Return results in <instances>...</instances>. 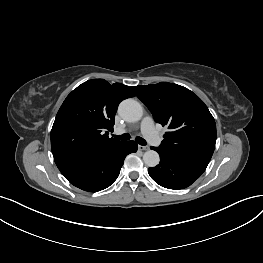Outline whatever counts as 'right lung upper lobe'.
<instances>
[{"label":"right lung upper lobe","instance_id":"obj_1","mask_svg":"<svg viewBox=\"0 0 263 263\" xmlns=\"http://www.w3.org/2000/svg\"><path fill=\"white\" fill-rule=\"evenodd\" d=\"M129 86L104 79L84 82L61 105L52 130L51 149L58 168L82 161L120 143L108 137L119 103L134 97Z\"/></svg>","mask_w":263,"mask_h":263}]
</instances>
